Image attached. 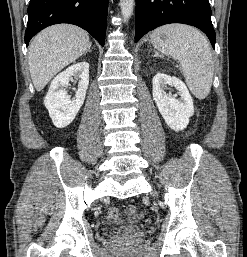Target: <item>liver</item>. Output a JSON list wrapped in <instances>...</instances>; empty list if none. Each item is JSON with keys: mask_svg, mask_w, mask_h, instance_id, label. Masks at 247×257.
Returning a JSON list of instances; mask_svg holds the SVG:
<instances>
[{"mask_svg": "<svg viewBox=\"0 0 247 257\" xmlns=\"http://www.w3.org/2000/svg\"><path fill=\"white\" fill-rule=\"evenodd\" d=\"M90 47L88 33L75 25H52L38 33L28 51L35 89L41 91L59 71L85 54Z\"/></svg>", "mask_w": 247, "mask_h": 257, "instance_id": "obj_1", "label": "liver"}]
</instances>
